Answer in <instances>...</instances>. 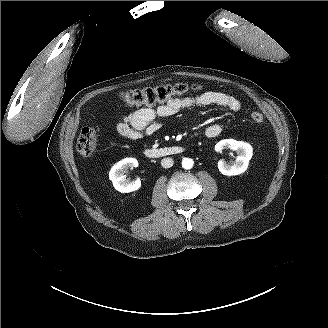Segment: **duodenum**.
I'll list each match as a JSON object with an SVG mask.
<instances>
[{
  "label": "duodenum",
  "instance_id": "obj_1",
  "mask_svg": "<svg viewBox=\"0 0 328 328\" xmlns=\"http://www.w3.org/2000/svg\"><path fill=\"white\" fill-rule=\"evenodd\" d=\"M184 149L180 146H167L161 148H148L144 154L148 158H163L181 154Z\"/></svg>",
  "mask_w": 328,
  "mask_h": 328
}]
</instances>
